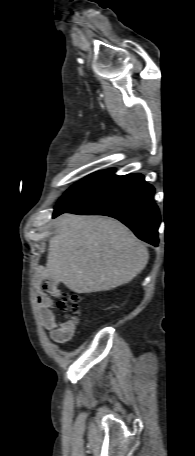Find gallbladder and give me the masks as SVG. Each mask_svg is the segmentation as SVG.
Wrapping results in <instances>:
<instances>
[{"label": "gallbladder", "instance_id": "1", "mask_svg": "<svg viewBox=\"0 0 195 456\" xmlns=\"http://www.w3.org/2000/svg\"><path fill=\"white\" fill-rule=\"evenodd\" d=\"M49 283L52 285H56V282H54V280H52L51 278L49 279Z\"/></svg>", "mask_w": 195, "mask_h": 456}]
</instances>
